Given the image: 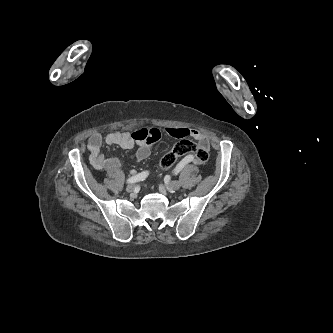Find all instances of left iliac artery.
<instances>
[{
	"label": "left iliac artery",
	"instance_id": "obj_1",
	"mask_svg": "<svg viewBox=\"0 0 333 333\" xmlns=\"http://www.w3.org/2000/svg\"><path fill=\"white\" fill-rule=\"evenodd\" d=\"M183 167H184V163H183V162H180V163L176 166V168H175V170H174V173H175V174H178V173L182 170Z\"/></svg>",
	"mask_w": 333,
	"mask_h": 333
}]
</instances>
